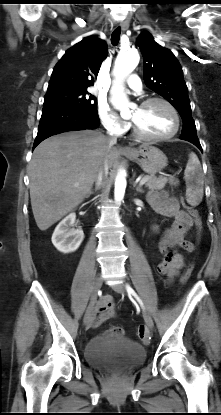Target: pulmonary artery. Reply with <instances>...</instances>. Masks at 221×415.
Masks as SVG:
<instances>
[{
  "mask_svg": "<svg viewBox=\"0 0 221 415\" xmlns=\"http://www.w3.org/2000/svg\"><path fill=\"white\" fill-rule=\"evenodd\" d=\"M126 82L129 85V87L132 88L133 90H135V91H140L141 90L142 83H141L140 78L137 75H135V74L130 75L127 78Z\"/></svg>",
  "mask_w": 221,
  "mask_h": 415,
  "instance_id": "e3ab8cb5",
  "label": "pulmonary artery"
}]
</instances>
